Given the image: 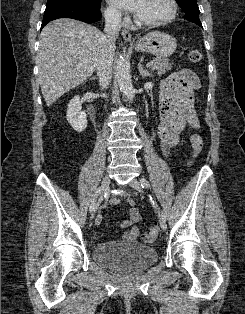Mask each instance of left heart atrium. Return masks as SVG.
Segmentation results:
<instances>
[{
  "label": "left heart atrium",
  "mask_w": 245,
  "mask_h": 314,
  "mask_svg": "<svg viewBox=\"0 0 245 314\" xmlns=\"http://www.w3.org/2000/svg\"><path fill=\"white\" fill-rule=\"evenodd\" d=\"M108 2L119 10L137 14L141 9L144 0H108Z\"/></svg>",
  "instance_id": "left-heart-atrium-1"
}]
</instances>
